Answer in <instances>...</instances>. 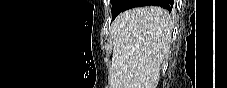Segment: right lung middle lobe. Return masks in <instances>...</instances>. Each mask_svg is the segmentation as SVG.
<instances>
[{"label":"right lung middle lobe","mask_w":227,"mask_h":88,"mask_svg":"<svg viewBox=\"0 0 227 88\" xmlns=\"http://www.w3.org/2000/svg\"><path fill=\"white\" fill-rule=\"evenodd\" d=\"M130 0H112V18L115 17L124 10L125 6Z\"/></svg>","instance_id":"dd1d6c3e"}]
</instances>
